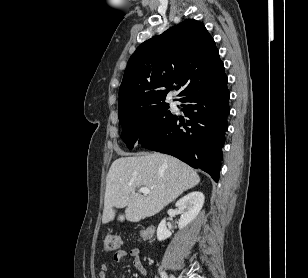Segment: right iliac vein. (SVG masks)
<instances>
[{"instance_id": "63e3f726", "label": "right iliac vein", "mask_w": 308, "mask_h": 278, "mask_svg": "<svg viewBox=\"0 0 308 278\" xmlns=\"http://www.w3.org/2000/svg\"><path fill=\"white\" fill-rule=\"evenodd\" d=\"M170 278H175L173 275H170Z\"/></svg>"}]
</instances>
